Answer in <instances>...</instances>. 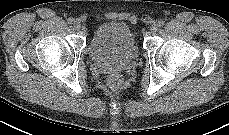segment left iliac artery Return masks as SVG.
<instances>
[{"instance_id":"obj_1","label":"left iliac artery","mask_w":229,"mask_h":135,"mask_svg":"<svg viewBox=\"0 0 229 135\" xmlns=\"http://www.w3.org/2000/svg\"><path fill=\"white\" fill-rule=\"evenodd\" d=\"M158 25L159 26H163L164 25V21L163 20L158 21Z\"/></svg>"}]
</instances>
